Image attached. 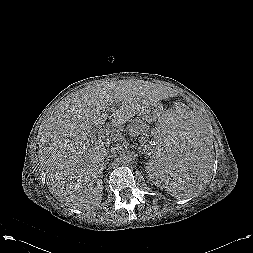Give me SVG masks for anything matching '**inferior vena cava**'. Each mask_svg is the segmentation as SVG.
I'll list each match as a JSON object with an SVG mask.
<instances>
[{"instance_id":"inferior-vena-cava-1","label":"inferior vena cava","mask_w":253,"mask_h":253,"mask_svg":"<svg viewBox=\"0 0 253 253\" xmlns=\"http://www.w3.org/2000/svg\"><path fill=\"white\" fill-rule=\"evenodd\" d=\"M116 147L115 146H110V145H108V146H106V147H104L103 148V154H104V157H111V156H113V154H115V152H116Z\"/></svg>"}]
</instances>
